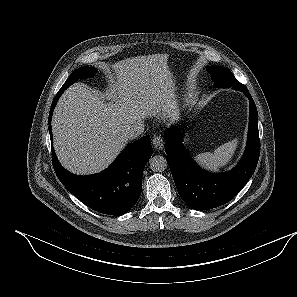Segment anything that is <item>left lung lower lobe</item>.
<instances>
[{"instance_id":"left-lung-lower-lobe-1","label":"left lung lower lobe","mask_w":297,"mask_h":297,"mask_svg":"<svg viewBox=\"0 0 297 297\" xmlns=\"http://www.w3.org/2000/svg\"><path fill=\"white\" fill-rule=\"evenodd\" d=\"M241 91L249 98L248 140L240 162L232 170L221 174L202 170L182 146L177 128L171 127L165 131L167 163L180 197L192 209L208 210L229 202L256 169L260 155L258 113L247 88Z\"/></svg>"}]
</instances>
